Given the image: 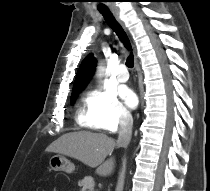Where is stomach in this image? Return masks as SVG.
Segmentation results:
<instances>
[{"instance_id":"stomach-1","label":"stomach","mask_w":210,"mask_h":191,"mask_svg":"<svg viewBox=\"0 0 210 191\" xmlns=\"http://www.w3.org/2000/svg\"><path fill=\"white\" fill-rule=\"evenodd\" d=\"M49 164L53 171L72 173L75 169L74 164L63 155H55L51 157Z\"/></svg>"}]
</instances>
